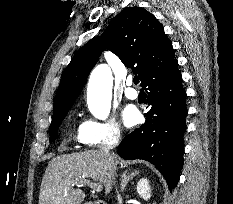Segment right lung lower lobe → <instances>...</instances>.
<instances>
[{
	"label": "right lung lower lobe",
	"mask_w": 233,
	"mask_h": 204,
	"mask_svg": "<svg viewBox=\"0 0 233 204\" xmlns=\"http://www.w3.org/2000/svg\"><path fill=\"white\" fill-rule=\"evenodd\" d=\"M151 109L144 114L146 121L128 134L118 147L124 159H143L151 162L173 189L183 166L186 132V92L178 62L158 72L144 85Z\"/></svg>",
	"instance_id": "98d812e1"
}]
</instances>
